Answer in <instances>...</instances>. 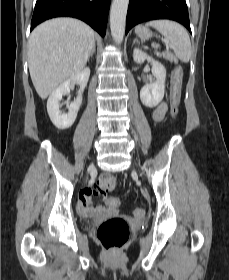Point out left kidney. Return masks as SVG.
<instances>
[{
    "mask_svg": "<svg viewBox=\"0 0 229 280\" xmlns=\"http://www.w3.org/2000/svg\"><path fill=\"white\" fill-rule=\"evenodd\" d=\"M133 59L138 64H141L147 60L152 65V74L156 78V81L145 85L141 89L140 99L145 106L151 108L155 107L162 101L164 97L166 69L161 63L155 61L152 57L148 56L139 49H134Z\"/></svg>",
    "mask_w": 229,
    "mask_h": 280,
    "instance_id": "5707ae66",
    "label": "left kidney"
}]
</instances>
